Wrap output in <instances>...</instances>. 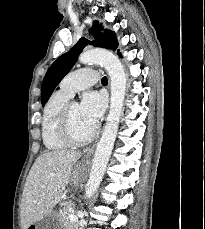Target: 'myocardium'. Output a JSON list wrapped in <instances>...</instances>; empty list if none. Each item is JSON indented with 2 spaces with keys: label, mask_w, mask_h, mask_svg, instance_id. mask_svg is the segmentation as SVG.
Instances as JSON below:
<instances>
[{
  "label": "myocardium",
  "mask_w": 205,
  "mask_h": 229,
  "mask_svg": "<svg viewBox=\"0 0 205 229\" xmlns=\"http://www.w3.org/2000/svg\"><path fill=\"white\" fill-rule=\"evenodd\" d=\"M77 104L75 101H68L65 103L58 119V135L59 137L70 146H81L89 143L97 134V127L94 126L92 131L84 138H77L74 136L71 128L70 111L71 107Z\"/></svg>",
  "instance_id": "obj_1"
}]
</instances>
